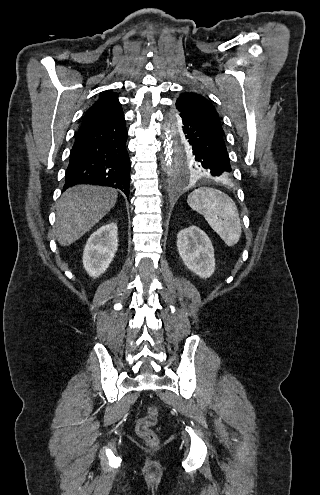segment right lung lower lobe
<instances>
[{
  "label": "right lung lower lobe",
  "instance_id": "98d812e1",
  "mask_svg": "<svg viewBox=\"0 0 320 495\" xmlns=\"http://www.w3.org/2000/svg\"><path fill=\"white\" fill-rule=\"evenodd\" d=\"M127 133L125 120L78 131L63 191L77 184H96L118 188L129 197Z\"/></svg>",
  "mask_w": 320,
  "mask_h": 495
}]
</instances>
